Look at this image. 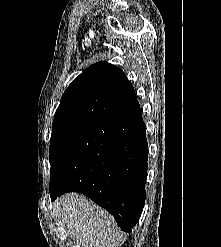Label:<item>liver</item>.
Segmentation results:
<instances>
[{"instance_id": "6515ba94", "label": "liver", "mask_w": 221, "mask_h": 247, "mask_svg": "<svg viewBox=\"0 0 221 247\" xmlns=\"http://www.w3.org/2000/svg\"><path fill=\"white\" fill-rule=\"evenodd\" d=\"M53 215L81 247H120L125 236L114 218L79 193H67L53 203Z\"/></svg>"}]
</instances>
